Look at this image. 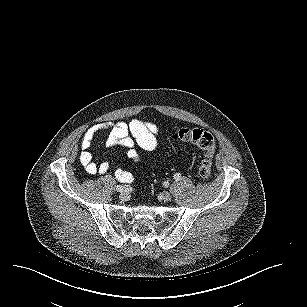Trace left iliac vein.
I'll return each instance as SVG.
<instances>
[{"instance_id": "1", "label": "left iliac vein", "mask_w": 307, "mask_h": 307, "mask_svg": "<svg viewBox=\"0 0 307 307\" xmlns=\"http://www.w3.org/2000/svg\"><path fill=\"white\" fill-rule=\"evenodd\" d=\"M171 197H172V195L168 191H165V192L162 193V199L164 201H169L171 199Z\"/></svg>"}]
</instances>
